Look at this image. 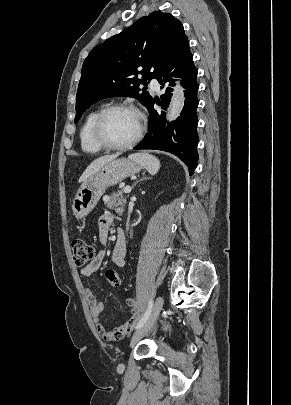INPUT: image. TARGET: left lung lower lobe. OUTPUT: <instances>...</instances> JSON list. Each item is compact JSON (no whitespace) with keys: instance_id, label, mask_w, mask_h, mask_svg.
I'll return each mask as SVG.
<instances>
[{"instance_id":"left-lung-lower-lobe-1","label":"left lung lower lobe","mask_w":291,"mask_h":405,"mask_svg":"<svg viewBox=\"0 0 291 405\" xmlns=\"http://www.w3.org/2000/svg\"><path fill=\"white\" fill-rule=\"evenodd\" d=\"M182 79L181 84L185 88V103L181 115L174 122L165 120L164 111L158 112L153 107V99L147 105L150 112L148 128L145 138L134 149H153L170 152L178 156L188 167L189 174L194 173L197 166L198 124L196 108L198 106L196 82L197 69L193 63V55L190 52L189 41L185 37L167 64L161 69L156 77L159 83L165 86V94L161 96V107L165 109L172 96L174 79ZM154 102H156L154 100ZM159 104L160 102H156Z\"/></svg>"}]
</instances>
